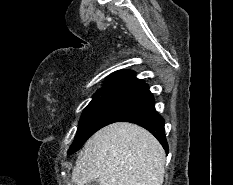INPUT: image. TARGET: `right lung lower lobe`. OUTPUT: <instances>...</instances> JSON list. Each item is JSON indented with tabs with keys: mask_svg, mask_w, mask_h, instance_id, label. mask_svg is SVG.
I'll use <instances>...</instances> for the list:
<instances>
[{
	"mask_svg": "<svg viewBox=\"0 0 233 185\" xmlns=\"http://www.w3.org/2000/svg\"><path fill=\"white\" fill-rule=\"evenodd\" d=\"M120 121L135 123L147 129L168 153L164 119L155 110L154 98L147 84L144 83L131 90L100 122L98 130L108 124Z\"/></svg>",
	"mask_w": 233,
	"mask_h": 185,
	"instance_id": "right-lung-lower-lobe-1",
	"label": "right lung lower lobe"
}]
</instances>
